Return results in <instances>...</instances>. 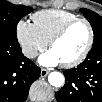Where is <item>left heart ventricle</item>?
Instances as JSON below:
<instances>
[{
	"instance_id": "1",
	"label": "left heart ventricle",
	"mask_w": 102,
	"mask_h": 102,
	"mask_svg": "<svg viewBox=\"0 0 102 102\" xmlns=\"http://www.w3.org/2000/svg\"><path fill=\"white\" fill-rule=\"evenodd\" d=\"M88 36L87 27L83 23H77L53 45L51 51L61 63L73 61L83 52Z\"/></svg>"
}]
</instances>
